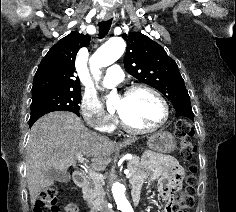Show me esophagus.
I'll return each instance as SVG.
<instances>
[{
    "label": "esophagus",
    "mask_w": 236,
    "mask_h": 212,
    "mask_svg": "<svg viewBox=\"0 0 236 212\" xmlns=\"http://www.w3.org/2000/svg\"><path fill=\"white\" fill-rule=\"evenodd\" d=\"M103 18H104L105 20L111 19V18H112V13H106V14L103 16Z\"/></svg>",
    "instance_id": "esophagus-1"
}]
</instances>
